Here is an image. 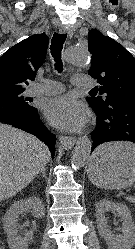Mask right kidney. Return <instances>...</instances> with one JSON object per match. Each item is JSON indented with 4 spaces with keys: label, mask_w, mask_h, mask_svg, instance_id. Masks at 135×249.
<instances>
[{
    "label": "right kidney",
    "mask_w": 135,
    "mask_h": 249,
    "mask_svg": "<svg viewBox=\"0 0 135 249\" xmlns=\"http://www.w3.org/2000/svg\"><path fill=\"white\" fill-rule=\"evenodd\" d=\"M31 211L36 218L44 216V205L39 198L31 197L15 202L6 212L3 218L4 230L7 233V241L10 249H27L33 233L27 232L24 236H18L17 218L20 214Z\"/></svg>",
    "instance_id": "ca27d5eb"
}]
</instances>
